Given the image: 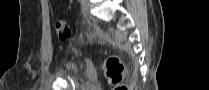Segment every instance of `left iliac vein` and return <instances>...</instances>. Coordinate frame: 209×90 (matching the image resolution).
<instances>
[{"instance_id": "obj_1", "label": "left iliac vein", "mask_w": 209, "mask_h": 90, "mask_svg": "<svg viewBox=\"0 0 209 90\" xmlns=\"http://www.w3.org/2000/svg\"><path fill=\"white\" fill-rule=\"evenodd\" d=\"M90 3L88 0H82V10L84 14H88Z\"/></svg>"}]
</instances>
